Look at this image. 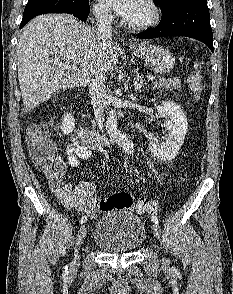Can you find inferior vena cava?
Listing matches in <instances>:
<instances>
[{"label":"inferior vena cava","mask_w":233,"mask_h":294,"mask_svg":"<svg viewBox=\"0 0 233 294\" xmlns=\"http://www.w3.org/2000/svg\"><path fill=\"white\" fill-rule=\"evenodd\" d=\"M95 17L98 23V28L96 30L98 41L100 43L110 42L112 38L110 9L107 7H100L95 11ZM89 95L94 109L95 122L99 129L103 131L107 95L104 69L99 63H97L91 71Z\"/></svg>","instance_id":"obj_1"}]
</instances>
